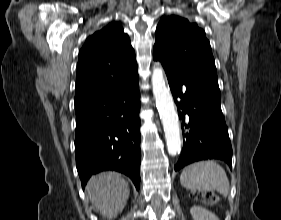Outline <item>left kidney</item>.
Masks as SVG:
<instances>
[{"label":"left kidney","instance_id":"5707ae66","mask_svg":"<svg viewBox=\"0 0 281 220\" xmlns=\"http://www.w3.org/2000/svg\"><path fill=\"white\" fill-rule=\"evenodd\" d=\"M190 213L193 220H219L211 211L196 205L190 209Z\"/></svg>","mask_w":281,"mask_h":220}]
</instances>
